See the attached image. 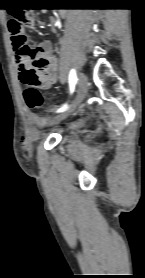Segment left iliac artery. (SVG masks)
<instances>
[{
	"mask_svg": "<svg viewBox=\"0 0 145 278\" xmlns=\"http://www.w3.org/2000/svg\"><path fill=\"white\" fill-rule=\"evenodd\" d=\"M77 80V75H76V71L74 69H72L70 71L69 74V88H70V94H72L74 92V87H75V83ZM68 105L64 104L61 108H59L57 110V112H63L67 109Z\"/></svg>",
	"mask_w": 145,
	"mask_h": 278,
	"instance_id": "44dca946",
	"label": "left iliac artery"
}]
</instances>
